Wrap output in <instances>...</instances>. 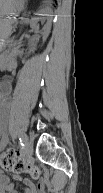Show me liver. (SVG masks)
<instances>
[{
  "label": "liver",
  "instance_id": "obj_1",
  "mask_svg": "<svg viewBox=\"0 0 103 193\" xmlns=\"http://www.w3.org/2000/svg\"><path fill=\"white\" fill-rule=\"evenodd\" d=\"M0 2H1L0 4H1V7H2L4 2H5V0H1Z\"/></svg>",
  "mask_w": 103,
  "mask_h": 193
}]
</instances>
